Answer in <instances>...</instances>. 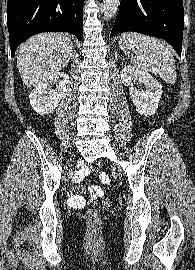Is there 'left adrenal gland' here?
<instances>
[{
  "label": "left adrenal gland",
  "instance_id": "left-adrenal-gland-1",
  "mask_svg": "<svg viewBox=\"0 0 195 270\" xmlns=\"http://www.w3.org/2000/svg\"><path fill=\"white\" fill-rule=\"evenodd\" d=\"M115 55L117 56V51H115Z\"/></svg>",
  "mask_w": 195,
  "mask_h": 270
}]
</instances>
